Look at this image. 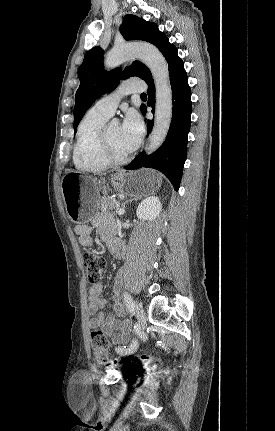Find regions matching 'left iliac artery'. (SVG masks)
<instances>
[{
  "label": "left iliac artery",
  "instance_id": "44dca946",
  "mask_svg": "<svg viewBox=\"0 0 275 431\" xmlns=\"http://www.w3.org/2000/svg\"><path fill=\"white\" fill-rule=\"evenodd\" d=\"M123 297H124V303H125L128 311L131 314H133L134 307H135L133 298L127 292H124ZM137 348H138V342H137V340L133 339L129 346H127V347L126 346H119L116 348V351L120 355H128V354L135 352L137 350Z\"/></svg>",
  "mask_w": 275,
  "mask_h": 431
}]
</instances>
